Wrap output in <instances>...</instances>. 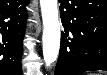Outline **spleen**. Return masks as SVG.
Here are the masks:
<instances>
[{"instance_id": "spleen-1", "label": "spleen", "mask_w": 107, "mask_h": 75, "mask_svg": "<svg viewBox=\"0 0 107 75\" xmlns=\"http://www.w3.org/2000/svg\"><path fill=\"white\" fill-rule=\"evenodd\" d=\"M88 75H95V74L90 73V74H88Z\"/></svg>"}]
</instances>
